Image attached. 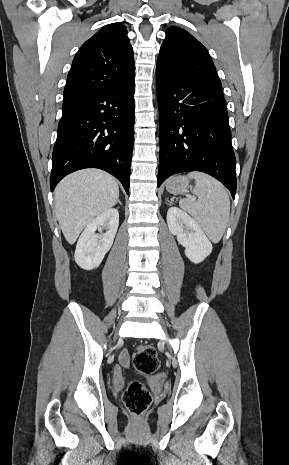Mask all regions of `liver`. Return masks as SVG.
<instances>
[{"mask_svg": "<svg viewBox=\"0 0 289 465\" xmlns=\"http://www.w3.org/2000/svg\"><path fill=\"white\" fill-rule=\"evenodd\" d=\"M119 197L113 176L99 169H84L65 177L55 189L56 217L69 244L99 214L112 208Z\"/></svg>", "mask_w": 289, "mask_h": 465, "instance_id": "liver-1", "label": "liver"}]
</instances>
